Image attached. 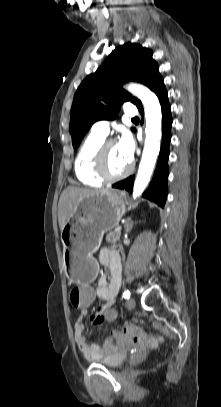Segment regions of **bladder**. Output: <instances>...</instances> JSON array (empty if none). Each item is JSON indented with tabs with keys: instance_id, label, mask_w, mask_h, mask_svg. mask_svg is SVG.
I'll return each mask as SVG.
<instances>
[{
	"instance_id": "31cf9c89",
	"label": "bladder",
	"mask_w": 221,
	"mask_h": 407,
	"mask_svg": "<svg viewBox=\"0 0 221 407\" xmlns=\"http://www.w3.org/2000/svg\"><path fill=\"white\" fill-rule=\"evenodd\" d=\"M126 360V354L115 350L114 352L105 355L101 358L95 359L93 362L108 368H117L121 366Z\"/></svg>"
}]
</instances>
